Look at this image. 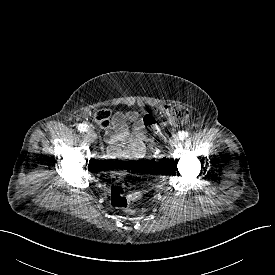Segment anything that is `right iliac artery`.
Segmentation results:
<instances>
[{
    "label": "right iliac artery",
    "instance_id": "obj_1",
    "mask_svg": "<svg viewBox=\"0 0 275 275\" xmlns=\"http://www.w3.org/2000/svg\"><path fill=\"white\" fill-rule=\"evenodd\" d=\"M88 129H89V126L87 124L81 123V124L78 125V130L80 132H87Z\"/></svg>",
    "mask_w": 275,
    "mask_h": 275
}]
</instances>
